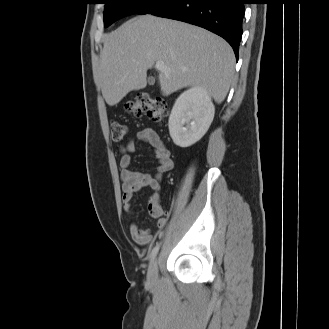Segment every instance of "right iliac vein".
<instances>
[{
    "label": "right iliac vein",
    "instance_id": "1",
    "mask_svg": "<svg viewBox=\"0 0 329 329\" xmlns=\"http://www.w3.org/2000/svg\"><path fill=\"white\" fill-rule=\"evenodd\" d=\"M158 277V261L154 259L148 268L147 281L150 285H154Z\"/></svg>",
    "mask_w": 329,
    "mask_h": 329
}]
</instances>
